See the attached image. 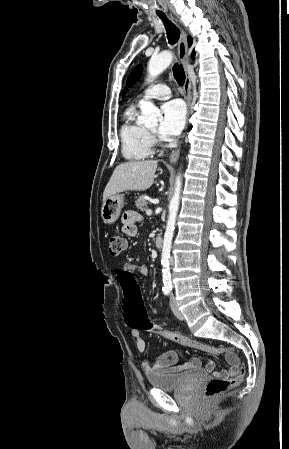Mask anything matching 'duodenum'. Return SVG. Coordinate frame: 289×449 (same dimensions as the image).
Wrapping results in <instances>:
<instances>
[{
  "label": "duodenum",
  "instance_id": "1",
  "mask_svg": "<svg viewBox=\"0 0 289 449\" xmlns=\"http://www.w3.org/2000/svg\"><path fill=\"white\" fill-rule=\"evenodd\" d=\"M155 245L158 249H162L163 247V238L161 236L155 237Z\"/></svg>",
  "mask_w": 289,
  "mask_h": 449
}]
</instances>
